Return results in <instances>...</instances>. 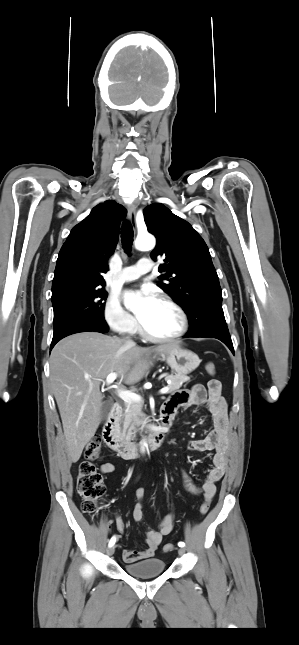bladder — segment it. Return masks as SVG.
<instances>
[{"label":"bladder","mask_w":299,"mask_h":645,"mask_svg":"<svg viewBox=\"0 0 299 645\" xmlns=\"http://www.w3.org/2000/svg\"><path fill=\"white\" fill-rule=\"evenodd\" d=\"M166 564L160 558H149L131 564H126L124 570L127 574L138 577H154L165 571Z\"/></svg>","instance_id":"bladder-1"}]
</instances>
